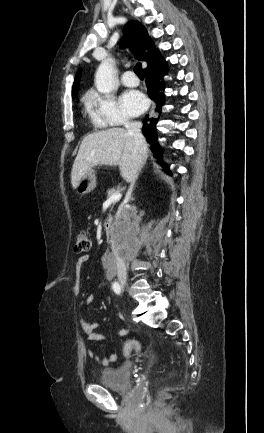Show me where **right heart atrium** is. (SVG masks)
Instances as JSON below:
<instances>
[{
	"mask_svg": "<svg viewBox=\"0 0 264 433\" xmlns=\"http://www.w3.org/2000/svg\"><path fill=\"white\" fill-rule=\"evenodd\" d=\"M87 108L93 119L101 125L130 123L129 116L121 109L112 95H103L96 91L91 92L87 98Z\"/></svg>",
	"mask_w": 264,
	"mask_h": 433,
	"instance_id": "right-heart-atrium-1",
	"label": "right heart atrium"
}]
</instances>
